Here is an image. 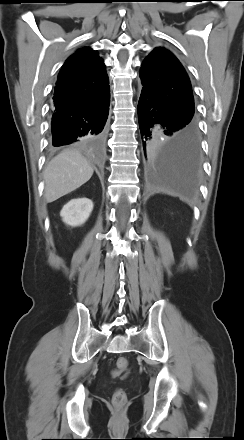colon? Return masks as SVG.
Wrapping results in <instances>:
<instances>
[{"mask_svg":"<svg viewBox=\"0 0 244 440\" xmlns=\"http://www.w3.org/2000/svg\"><path fill=\"white\" fill-rule=\"evenodd\" d=\"M116 366L117 368L114 374L119 375L128 369L129 361L125 357H120L117 360ZM126 399V393L122 389H116L113 394L112 402L115 406H122L126 402Z\"/></svg>","mask_w":244,"mask_h":440,"instance_id":"5ec220e1","label":"colon"}]
</instances>
